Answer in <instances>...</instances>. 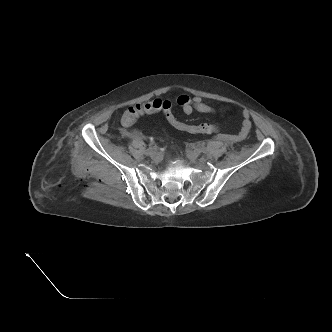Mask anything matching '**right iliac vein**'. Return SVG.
Instances as JSON below:
<instances>
[{
	"instance_id": "1",
	"label": "right iliac vein",
	"mask_w": 332,
	"mask_h": 332,
	"mask_svg": "<svg viewBox=\"0 0 332 332\" xmlns=\"http://www.w3.org/2000/svg\"><path fill=\"white\" fill-rule=\"evenodd\" d=\"M148 154L151 156V157H155L157 155L156 151L155 150H151L148 152Z\"/></svg>"
}]
</instances>
